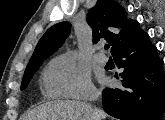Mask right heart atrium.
I'll use <instances>...</instances> for the list:
<instances>
[{"instance_id":"right-heart-atrium-1","label":"right heart atrium","mask_w":165,"mask_h":120,"mask_svg":"<svg viewBox=\"0 0 165 120\" xmlns=\"http://www.w3.org/2000/svg\"><path fill=\"white\" fill-rule=\"evenodd\" d=\"M43 82L52 97L87 100L97 94L89 72L67 55L58 56L48 64Z\"/></svg>"}]
</instances>
